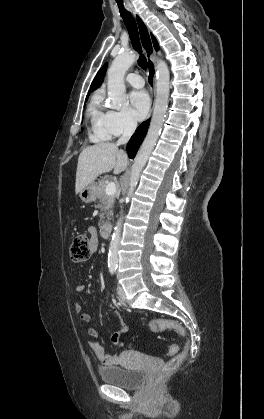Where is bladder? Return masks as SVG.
Here are the masks:
<instances>
[{"label":"bladder","instance_id":"obj_1","mask_svg":"<svg viewBox=\"0 0 264 419\" xmlns=\"http://www.w3.org/2000/svg\"><path fill=\"white\" fill-rule=\"evenodd\" d=\"M99 375L104 383L123 389H135L145 379L142 369L126 368L122 366H108L99 370Z\"/></svg>","mask_w":264,"mask_h":419}]
</instances>
